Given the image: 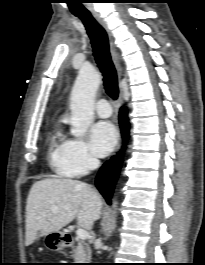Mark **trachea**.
Returning a JSON list of instances; mask_svg holds the SVG:
<instances>
[{
    "instance_id": "3493384b",
    "label": "trachea",
    "mask_w": 205,
    "mask_h": 265,
    "mask_svg": "<svg viewBox=\"0 0 205 265\" xmlns=\"http://www.w3.org/2000/svg\"><path fill=\"white\" fill-rule=\"evenodd\" d=\"M76 16L83 22L91 39L93 55L103 75L106 93L111 98L117 99L119 93L117 74L109 52L107 33L90 13Z\"/></svg>"
}]
</instances>
